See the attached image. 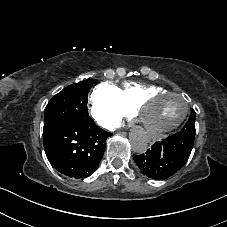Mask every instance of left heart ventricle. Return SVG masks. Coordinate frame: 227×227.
Masks as SVG:
<instances>
[{"instance_id":"left-heart-ventricle-1","label":"left heart ventricle","mask_w":227,"mask_h":227,"mask_svg":"<svg viewBox=\"0 0 227 227\" xmlns=\"http://www.w3.org/2000/svg\"><path fill=\"white\" fill-rule=\"evenodd\" d=\"M184 110L183 98L175 95L161 96L142 109V125L154 129L167 128L180 119Z\"/></svg>"}]
</instances>
